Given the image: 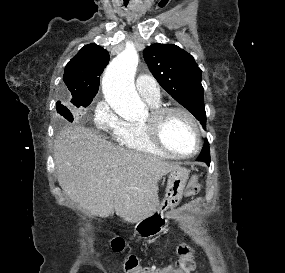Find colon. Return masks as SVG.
<instances>
[{"label":"colon","mask_w":285,"mask_h":273,"mask_svg":"<svg viewBox=\"0 0 285 273\" xmlns=\"http://www.w3.org/2000/svg\"><path fill=\"white\" fill-rule=\"evenodd\" d=\"M201 188L199 177L194 175L189 180L185 196L191 198L195 196ZM111 248L114 252H121L124 249V241L121 238H114L111 241ZM177 260L170 269H165L166 273H191L196 266L195 250L192 246L182 243L177 248ZM123 268L125 273H155V269L150 267H142L136 256L129 255L123 260Z\"/></svg>","instance_id":"obj_1"}]
</instances>
